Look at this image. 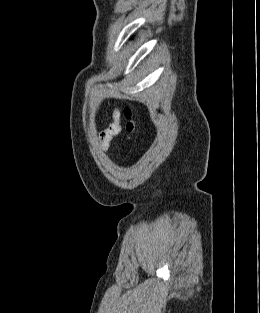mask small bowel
<instances>
[{
	"label": "small bowel",
	"mask_w": 260,
	"mask_h": 313,
	"mask_svg": "<svg viewBox=\"0 0 260 313\" xmlns=\"http://www.w3.org/2000/svg\"><path fill=\"white\" fill-rule=\"evenodd\" d=\"M119 117V112L117 109H115L113 112V122L101 133L100 146L104 151L108 149L112 138L119 134V132L121 131Z\"/></svg>",
	"instance_id": "1"
}]
</instances>
